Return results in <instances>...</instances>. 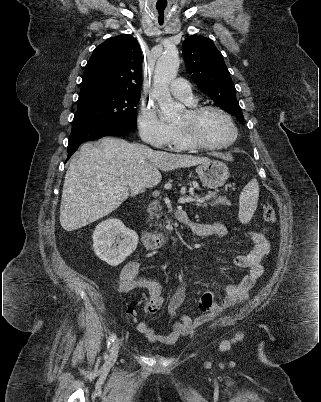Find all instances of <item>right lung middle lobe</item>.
Instances as JSON below:
<instances>
[{
    "mask_svg": "<svg viewBox=\"0 0 321 402\" xmlns=\"http://www.w3.org/2000/svg\"><path fill=\"white\" fill-rule=\"evenodd\" d=\"M139 94L119 92L104 88H81L78 109L73 123L124 122L136 125V109Z\"/></svg>",
    "mask_w": 321,
    "mask_h": 402,
    "instance_id": "dd1d6c3e",
    "label": "right lung middle lobe"
}]
</instances>
